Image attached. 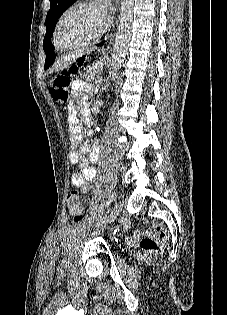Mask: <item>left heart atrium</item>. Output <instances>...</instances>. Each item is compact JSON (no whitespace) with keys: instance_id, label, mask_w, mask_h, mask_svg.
<instances>
[{"instance_id":"39dd6f15","label":"left heart atrium","mask_w":227,"mask_h":315,"mask_svg":"<svg viewBox=\"0 0 227 315\" xmlns=\"http://www.w3.org/2000/svg\"><path fill=\"white\" fill-rule=\"evenodd\" d=\"M103 3H104V7H107V6H108L107 2H103Z\"/></svg>"}]
</instances>
